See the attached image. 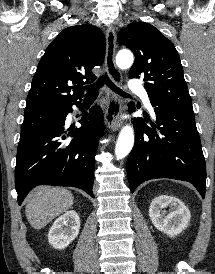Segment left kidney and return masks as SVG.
I'll return each instance as SVG.
<instances>
[{
  "label": "left kidney",
  "instance_id": "left-kidney-1",
  "mask_svg": "<svg viewBox=\"0 0 215 274\" xmlns=\"http://www.w3.org/2000/svg\"><path fill=\"white\" fill-rule=\"evenodd\" d=\"M167 207H169V212L165 210ZM149 217L159 231L174 237L188 226L191 214L181 200L161 195L152 200Z\"/></svg>",
  "mask_w": 215,
  "mask_h": 274
}]
</instances>
